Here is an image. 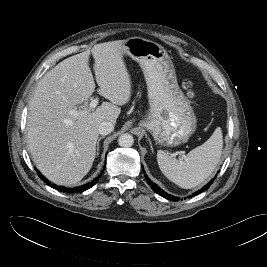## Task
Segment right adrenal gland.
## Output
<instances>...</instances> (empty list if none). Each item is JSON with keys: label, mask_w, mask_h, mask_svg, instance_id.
<instances>
[{"label": "right adrenal gland", "mask_w": 267, "mask_h": 267, "mask_svg": "<svg viewBox=\"0 0 267 267\" xmlns=\"http://www.w3.org/2000/svg\"><path fill=\"white\" fill-rule=\"evenodd\" d=\"M103 138H104V136H101V137L98 138V141H97V148H96V150H97V156L99 155L100 141H101V139H103Z\"/></svg>", "instance_id": "obj_1"}]
</instances>
